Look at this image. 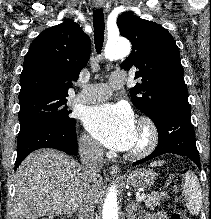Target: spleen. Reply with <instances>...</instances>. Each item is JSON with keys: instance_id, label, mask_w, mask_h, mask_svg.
Wrapping results in <instances>:
<instances>
[{"instance_id": "1", "label": "spleen", "mask_w": 211, "mask_h": 219, "mask_svg": "<svg viewBox=\"0 0 211 219\" xmlns=\"http://www.w3.org/2000/svg\"><path fill=\"white\" fill-rule=\"evenodd\" d=\"M163 163V161H158L150 165L161 166ZM184 196L190 214L198 215L202 207V190L197 176L192 171H188L185 176Z\"/></svg>"}]
</instances>
